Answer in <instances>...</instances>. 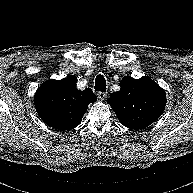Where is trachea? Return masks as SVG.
Segmentation results:
<instances>
[{
    "label": "trachea",
    "mask_w": 193,
    "mask_h": 193,
    "mask_svg": "<svg viewBox=\"0 0 193 193\" xmlns=\"http://www.w3.org/2000/svg\"><path fill=\"white\" fill-rule=\"evenodd\" d=\"M106 80L103 75L99 74L95 79V91L106 92Z\"/></svg>",
    "instance_id": "obj_1"
}]
</instances>
